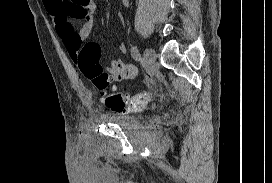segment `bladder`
<instances>
[{
  "instance_id": "bladder-1",
  "label": "bladder",
  "mask_w": 272,
  "mask_h": 183,
  "mask_svg": "<svg viewBox=\"0 0 272 183\" xmlns=\"http://www.w3.org/2000/svg\"><path fill=\"white\" fill-rule=\"evenodd\" d=\"M110 124L118 125L122 128H133L139 124V118L123 115V114H112L105 118Z\"/></svg>"
}]
</instances>
